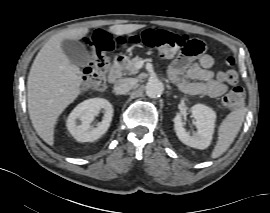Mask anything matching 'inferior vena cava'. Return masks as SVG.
<instances>
[{"label": "inferior vena cava", "instance_id": "obj_1", "mask_svg": "<svg viewBox=\"0 0 270 213\" xmlns=\"http://www.w3.org/2000/svg\"><path fill=\"white\" fill-rule=\"evenodd\" d=\"M132 87L133 82L131 79L128 78L120 79L114 85V92L117 95H123L126 94L128 91H130Z\"/></svg>", "mask_w": 270, "mask_h": 213}]
</instances>
